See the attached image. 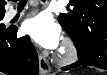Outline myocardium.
Listing matches in <instances>:
<instances>
[{
	"mask_svg": "<svg viewBox=\"0 0 107 75\" xmlns=\"http://www.w3.org/2000/svg\"><path fill=\"white\" fill-rule=\"evenodd\" d=\"M78 57V49L71 38H66L57 54V60L61 64L74 62Z\"/></svg>",
	"mask_w": 107,
	"mask_h": 75,
	"instance_id": "myocardium-1",
	"label": "myocardium"
}]
</instances>
